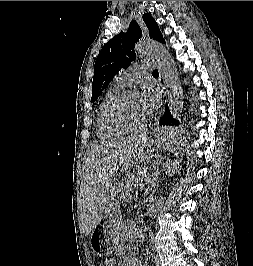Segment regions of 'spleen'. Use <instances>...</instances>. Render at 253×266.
I'll return each mask as SVG.
<instances>
[{
    "label": "spleen",
    "mask_w": 253,
    "mask_h": 266,
    "mask_svg": "<svg viewBox=\"0 0 253 266\" xmlns=\"http://www.w3.org/2000/svg\"><path fill=\"white\" fill-rule=\"evenodd\" d=\"M170 145L173 154H186L187 147L184 138H171ZM180 156H167L166 160H162L161 165H157V174H170L171 169H180Z\"/></svg>",
    "instance_id": "obj_1"
}]
</instances>
